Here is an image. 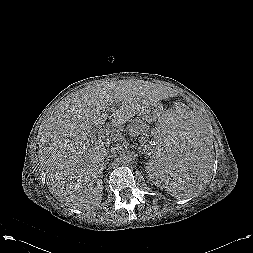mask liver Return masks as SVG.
<instances>
[{
  "label": "liver",
  "instance_id": "1",
  "mask_svg": "<svg viewBox=\"0 0 253 253\" xmlns=\"http://www.w3.org/2000/svg\"><path fill=\"white\" fill-rule=\"evenodd\" d=\"M158 100L156 85L121 81L87 86L62 102L43 123L40 138L39 161L51 194L75 209L98 207L103 196L104 145L90 142L93 127L108 118L120 129Z\"/></svg>",
  "mask_w": 253,
  "mask_h": 253
}]
</instances>
